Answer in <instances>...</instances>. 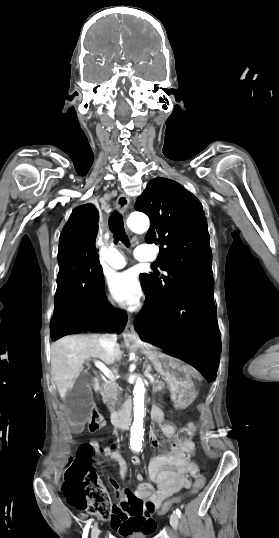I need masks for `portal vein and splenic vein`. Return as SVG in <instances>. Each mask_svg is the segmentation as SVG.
Instances as JSON below:
<instances>
[{"label":"portal vein and splenic vein","instance_id":"18ae733b","mask_svg":"<svg viewBox=\"0 0 279 538\" xmlns=\"http://www.w3.org/2000/svg\"><path fill=\"white\" fill-rule=\"evenodd\" d=\"M93 365H95L96 368H99V370H101V372H103V374H105L107 378H114L112 372H110V370H108V368H106V366H104L102 362H98V360H93ZM154 383H159V380H154Z\"/></svg>","mask_w":279,"mask_h":538}]
</instances>
